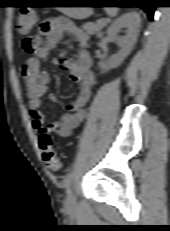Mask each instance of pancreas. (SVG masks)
Masks as SVG:
<instances>
[{"label": "pancreas", "mask_w": 170, "mask_h": 231, "mask_svg": "<svg viewBox=\"0 0 170 231\" xmlns=\"http://www.w3.org/2000/svg\"><path fill=\"white\" fill-rule=\"evenodd\" d=\"M106 20H98L96 23H85L83 29L90 35L98 33L105 25Z\"/></svg>", "instance_id": "1"}]
</instances>
